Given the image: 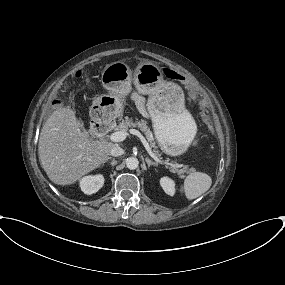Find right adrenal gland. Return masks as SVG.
<instances>
[{"label":"right adrenal gland","instance_id":"right-adrenal-gland-1","mask_svg":"<svg viewBox=\"0 0 285 285\" xmlns=\"http://www.w3.org/2000/svg\"><path fill=\"white\" fill-rule=\"evenodd\" d=\"M108 160H111V157H109V158L107 159V161H108Z\"/></svg>","mask_w":285,"mask_h":285}]
</instances>
